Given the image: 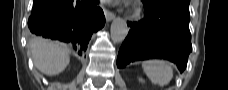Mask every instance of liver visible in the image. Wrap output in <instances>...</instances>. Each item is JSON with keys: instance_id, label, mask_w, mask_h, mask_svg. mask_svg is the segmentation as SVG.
<instances>
[{"instance_id": "1", "label": "liver", "mask_w": 228, "mask_h": 90, "mask_svg": "<svg viewBox=\"0 0 228 90\" xmlns=\"http://www.w3.org/2000/svg\"><path fill=\"white\" fill-rule=\"evenodd\" d=\"M30 48L34 65L46 75L60 74L69 64L67 50L59 43L34 38L30 42Z\"/></svg>"}]
</instances>
